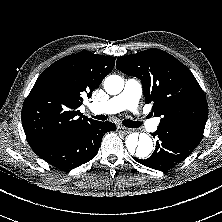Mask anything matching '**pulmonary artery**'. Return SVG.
<instances>
[{
    "label": "pulmonary artery",
    "instance_id": "e3ab8cb5",
    "mask_svg": "<svg viewBox=\"0 0 222 222\" xmlns=\"http://www.w3.org/2000/svg\"><path fill=\"white\" fill-rule=\"evenodd\" d=\"M141 94V83L135 79H128L120 94L107 101L93 103L90 108L92 112L99 114H113L123 110L133 111L136 113L135 121L140 122L141 126L154 131L157 129L158 121L136 111Z\"/></svg>",
    "mask_w": 222,
    "mask_h": 222
}]
</instances>
